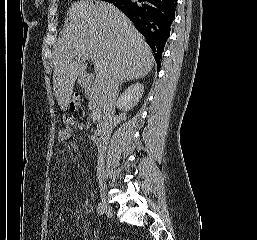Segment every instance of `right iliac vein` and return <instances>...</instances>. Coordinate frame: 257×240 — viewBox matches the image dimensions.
<instances>
[{
	"mask_svg": "<svg viewBox=\"0 0 257 240\" xmlns=\"http://www.w3.org/2000/svg\"><path fill=\"white\" fill-rule=\"evenodd\" d=\"M101 204L105 214L111 217L113 215V209L111 205L108 203V201L106 200L103 187H101Z\"/></svg>",
	"mask_w": 257,
	"mask_h": 240,
	"instance_id": "1",
	"label": "right iliac vein"
}]
</instances>
